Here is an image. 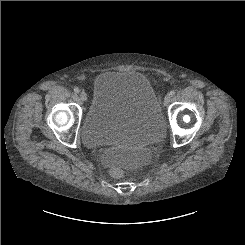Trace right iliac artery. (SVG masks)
I'll use <instances>...</instances> for the list:
<instances>
[{
	"label": "right iliac artery",
	"instance_id": "right-iliac-artery-1",
	"mask_svg": "<svg viewBox=\"0 0 245 245\" xmlns=\"http://www.w3.org/2000/svg\"><path fill=\"white\" fill-rule=\"evenodd\" d=\"M74 92H75V93H79V92H80L79 88H78V87H75V88H74Z\"/></svg>",
	"mask_w": 245,
	"mask_h": 245
}]
</instances>
